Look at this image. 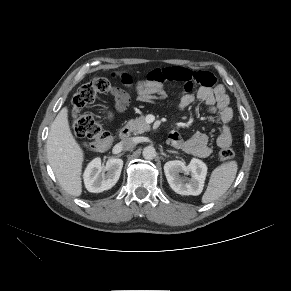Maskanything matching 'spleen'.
I'll return each instance as SVG.
<instances>
[{
	"label": "spleen",
	"instance_id": "3e777b00",
	"mask_svg": "<svg viewBox=\"0 0 291 291\" xmlns=\"http://www.w3.org/2000/svg\"><path fill=\"white\" fill-rule=\"evenodd\" d=\"M237 170L236 161H229L215 168L209 179L207 189L202 196V202H213L225 194L234 182Z\"/></svg>",
	"mask_w": 291,
	"mask_h": 291
}]
</instances>
